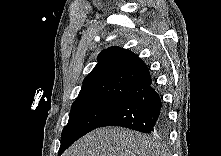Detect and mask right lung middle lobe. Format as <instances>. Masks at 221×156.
Instances as JSON below:
<instances>
[{
  "instance_id": "right-lung-middle-lobe-1",
  "label": "right lung middle lobe",
  "mask_w": 221,
  "mask_h": 156,
  "mask_svg": "<svg viewBox=\"0 0 221 156\" xmlns=\"http://www.w3.org/2000/svg\"><path fill=\"white\" fill-rule=\"evenodd\" d=\"M125 98L111 96H91L76 99L71 107L68 124L61 134L58 156L73 142L99 127Z\"/></svg>"
}]
</instances>
